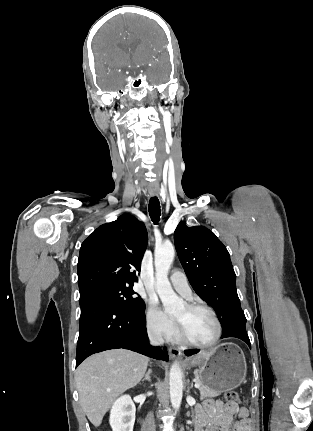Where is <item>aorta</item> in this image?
<instances>
[{
    "instance_id": "1",
    "label": "aorta",
    "mask_w": 313,
    "mask_h": 431,
    "mask_svg": "<svg viewBox=\"0 0 313 431\" xmlns=\"http://www.w3.org/2000/svg\"><path fill=\"white\" fill-rule=\"evenodd\" d=\"M175 249L172 244L163 245L155 250V276L157 293L163 303L165 311L172 313L182 304L177 294L173 291L168 279V272L174 260ZM170 400L174 409L178 410L182 401L183 380L179 363L175 362L169 374Z\"/></svg>"
}]
</instances>
